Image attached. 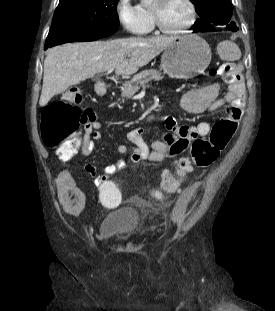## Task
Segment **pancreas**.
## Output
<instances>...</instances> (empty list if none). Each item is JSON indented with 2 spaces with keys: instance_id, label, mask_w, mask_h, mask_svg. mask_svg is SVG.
<instances>
[{
  "instance_id": "1",
  "label": "pancreas",
  "mask_w": 275,
  "mask_h": 311,
  "mask_svg": "<svg viewBox=\"0 0 275 311\" xmlns=\"http://www.w3.org/2000/svg\"><path fill=\"white\" fill-rule=\"evenodd\" d=\"M162 79L163 76L158 70H144L136 74L130 81L123 84L121 88V96L123 98L131 97L139 90L140 86L145 85L152 80L159 81Z\"/></svg>"
}]
</instances>
